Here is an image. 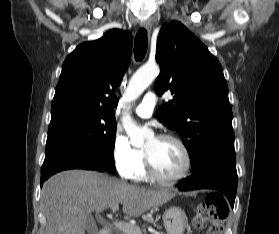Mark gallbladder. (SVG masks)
I'll return each mask as SVG.
<instances>
[{
    "mask_svg": "<svg viewBox=\"0 0 279 234\" xmlns=\"http://www.w3.org/2000/svg\"><path fill=\"white\" fill-rule=\"evenodd\" d=\"M86 229L89 234H96V232L98 231L95 221L91 216H89L86 220Z\"/></svg>",
    "mask_w": 279,
    "mask_h": 234,
    "instance_id": "bac80fb5",
    "label": "gallbladder"
}]
</instances>
